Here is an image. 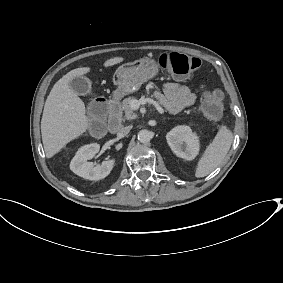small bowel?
<instances>
[{
    "label": "small bowel",
    "instance_id": "obj_1",
    "mask_svg": "<svg viewBox=\"0 0 283 283\" xmlns=\"http://www.w3.org/2000/svg\"><path fill=\"white\" fill-rule=\"evenodd\" d=\"M155 97L158 103L171 113H177L191 106L196 100L195 94L188 86L173 82L166 83Z\"/></svg>",
    "mask_w": 283,
    "mask_h": 283
}]
</instances>
